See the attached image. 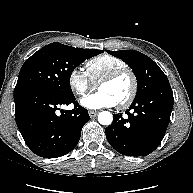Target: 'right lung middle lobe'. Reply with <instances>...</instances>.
<instances>
[{
    "label": "right lung middle lobe",
    "mask_w": 193,
    "mask_h": 193,
    "mask_svg": "<svg viewBox=\"0 0 193 193\" xmlns=\"http://www.w3.org/2000/svg\"><path fill=\"white\" fill-rule=\"evenodd\" d=\"M103 50L81 49L51 43L28 58L23 64L16 87L14 100L34 91H51L62 96H72L70 76L73 70Z\"/></svg>",
    "instance_id": "1"
}]
</instances>
